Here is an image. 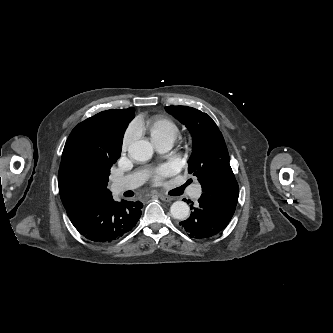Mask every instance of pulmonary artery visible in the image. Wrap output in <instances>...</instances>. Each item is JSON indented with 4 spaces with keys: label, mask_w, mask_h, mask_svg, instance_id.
Segmentation results:
<instances>
[{
    "label": "pulmonary artery",
    "mask_w": 333,
    "mask_h": 333,
    "mask_svg": "<svg viewBox=\"0 0 333 333\" xmlns=\"http://www.w3.org/2000/svg\"><path fill=\"white\" fill-rule=\"evenodd\" d=\"M173 142L171 140H160L154 142L156 149L159 152H166L171 149ZM147 178V174L145 171H137L131 174H128L124 177L116 178L112 182V190L120 194L127 190H132L139 185H141ZM193 193L195 197H199L201 194V187L200 185H195L193 187Z\"/></svg>",
    "instance_id": "pulmonary-artery-1"
}]
</instances>
